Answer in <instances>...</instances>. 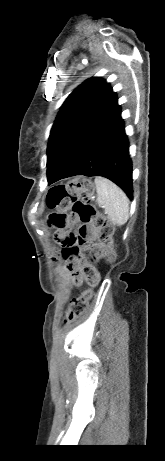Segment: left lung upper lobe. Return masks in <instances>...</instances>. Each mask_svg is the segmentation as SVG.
I'll return each instance as SVG.
<instances>
[{
	"label": "left lung upper lobe",
	"mask_w": 165,
	"mask_h": 461,
	"mask_svg": "<svg viewBox=\"0 0 165 461\" xmlns=\"http://www.w3.org/2000/svg\"><path fill=\"white\" fill-rule=\"evenodd\" d=\"M116 99L109 83L94 77L77 87L63 103L47 148V179L55 174L82 136Z\"/></svg>",
	"instance_id": "1"
}]
</instances>
